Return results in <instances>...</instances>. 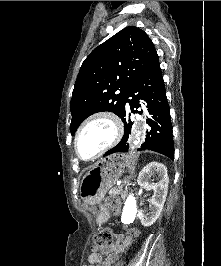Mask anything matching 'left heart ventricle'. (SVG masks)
I'll return each instance as SVG.
<instances>
[{"mask_svg": "<svg viewBox=\"0 0 221 266\" xmlns=\"http://www.w3.org/2000/svg\"><path fill=\"white\" fill-rule=\"evenodd\" d=\"M114 127L105 118H99L88 124L78 140L80 154L90 158L105 147L113 138Z\"/></svg>", "mask_w": 221, "mask_h": 266, "instance_id": "left-heart-ventricle-1", "label": "left heart ventricle"}]
</instances>
